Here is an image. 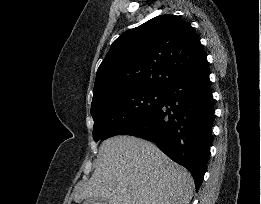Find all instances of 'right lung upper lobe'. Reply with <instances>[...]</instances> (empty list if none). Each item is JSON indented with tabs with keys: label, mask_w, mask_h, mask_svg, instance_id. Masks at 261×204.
I'll return each instance as SVG.
<instances>
[{
	"label": "right lung upper lobe",
	"mask_w": 261,
	"mask_h": 204,
	"mask_svg": "<svg viewBox=\"0 0 261 204\" xmlns=\"http://www.w3.org/2000/svg\"><path fill=\"white\" fill-rule=\"evenodd\" d=\"M206 56L191 24L175 15L152 18L112 43L98 68L91 106L116 91H164Z\"/></svg>",
	"instance_id": "1"
}]
</instances>
